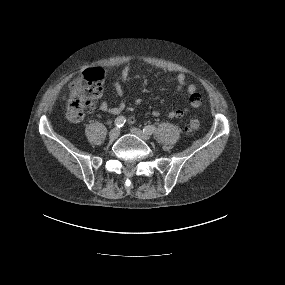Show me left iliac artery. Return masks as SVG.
<instances>
[{
	"instance_id": "44dca946",
	"label": "left iliac artery",
	"mask_w": 285,
	"mask_h": 285,
	"mask_svg": "<svg viewBox=\"0 0 285 285\" xmlns=\"http://www.w3.org/2000/svg\"><path fill=\"white\" fill-rule=\"evenodd\" d=\"M155 130H156L155 126L148 125V126L144 127L143 132L148 134V135H151L154 133Z\"/></svg>"
}]
</instances>
